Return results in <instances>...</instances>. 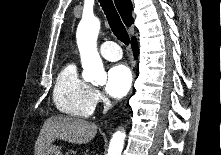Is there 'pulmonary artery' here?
Masks as SVG:
<instances>
[{
  "label": "pulmonary artery",
  "instance_id": "e3ab8cb5",
  "mask_svg": "<svg viewBox=\"0 0 221 155\" xmlns=\"http://www.w3.org/2000/svg\"><path fill=\"white\" fill-rule=\"evenodd\" d=\"M102 57L109 61H117L122 57L119 45L113 41H106L100 46Z\"/></svg>",
  "mask_w": 221,
  "mask_h": 155
}]
</instances>
